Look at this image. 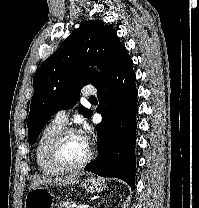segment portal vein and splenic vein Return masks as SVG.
<instances>
[{
  "label": "portal vein and splenic vein",
  "instance_id": "obj_1",
  "mask_svg": "<svg viewBox=\"0 0 199 208\" xmlns=\"http://www.w3.org/2000/svg\"><path fill=\"white\" fill-rule=\"evenodd\" d=\"M77 208H88V205H79Z\"/></svg>",
  "mask_w": 199,
  "mask_h": 208
}]
</instances>
